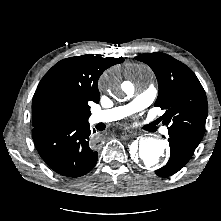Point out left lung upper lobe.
I'll return each instance as SVG.
<instances>
[{
    "label": "left lung upper lobe",
    "mask_w": 221,
    "mask_h": 221,
    "mask_svg": "<svg viewBox=\"0 0 221 221\" xmlns=\"http://www.w3.org/2000/svg\"><path fill=\"white\" fill-rule=\"evenodd\" d=\"M135 59L148 64L156 75L159 94L155 106L165 110L161 118L168 131L189 134L201 140L208 105L196 75L185 64L164 53L141 54Z\"/></svg>",
    "instance_id": "5c2ea615"
}]
</instances>
